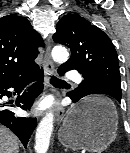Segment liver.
<instances>
[{"instance_id":"obj_1","label":"liver","mask_w":130,"mask_h":153,"mask_svg":"<svg viewBox=\"0 0 130 153\" xmlns=\"http://www.w3.org/2000/svg\"><path fill=\"white\" fill-rule=\"evenodd\" d=\"M18 138L6 127L0 125V153H18Z\"/></svg>"}]
</instances>
